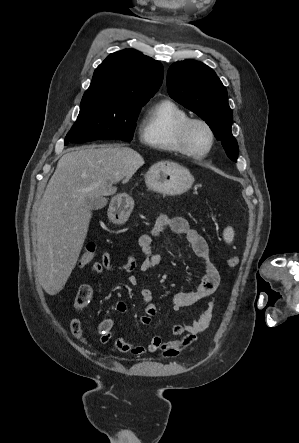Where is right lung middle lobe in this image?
<instances>
[{
	"mask_svg": "<svg viewBox=\"0 0 299 443\" xmlns=\"http://www.w3.org/2000/svg\"><path fill=\"white\" fill-rule=\"evenodd\" d=\"M146 102L83 96L77 121L68 132L65 145L99 139L131 141L138 112Z\"/></svg>",
	"mask_w": 299,
	"mask_h": 443,
	"instance_id": "right-lung-middle-lobe-1",
	"label": "right lung middle lobe"
}]
</instances>
